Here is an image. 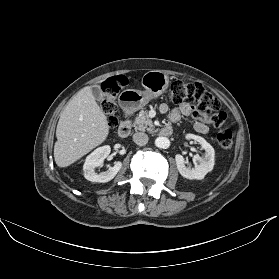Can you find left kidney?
I'll return each instance as SVG.
<instances>
[{"label":"left kidney","mask_w":279,"mask_h":279,"mask_svg":"<svg viewBox=\"0 0 279 279\" xmlns=\"http://www.w3.org/2000/svg\"><path fill=\"white\" fill-rule=\"evenodd\" d=\"M187 139H194L205 150L204 157L195 155L193 158L194 167L186 166L184 157L180 154L175 156L176 165L179 173L190 180H202L206 174L212 171L215 163V151L214 148L202 137L193 134H187Z\"/></svg>","instance_id":"1"}]
</instances>
